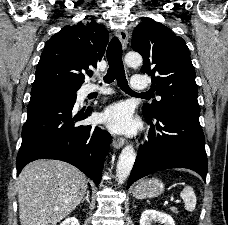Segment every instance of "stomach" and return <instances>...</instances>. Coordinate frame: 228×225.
<instances>
[{"label": "stomach", "mask_w": 228, "mask_h": 225, "mask_svg": "<svg viewBox=\"0 0 228 225\" xmlns=\"http://www.w3.org/2000/svg\"><path fill=\"white\" fill-rule=\"evenodd\" d=\"M164 193V183L160 179H144L139 181L133 193L136 199H154Z\"/></svg>", "instance_id": "0dacf381"}]
</instances>
